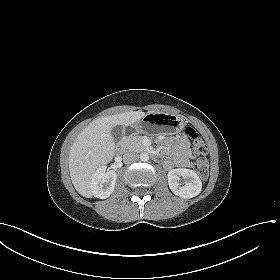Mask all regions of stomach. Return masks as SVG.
I'll list each match as a JSON object with an SVG mask.
<instances>
[{"label":"stomach","instance_id":"stomach-1","mask_svg":"<svg viewBox=\"0 0 280 280\" xmlns=\"http://www.w3.org/2000/svg\"><path fill=\"white\" fill-rule=\"evenodd\" d=\"M184 121L179 116L168 113H149L134 123V132H153L162 130L166 133H179L184 128Z\"/></svg>","mask_w":280,"mask_h":280}]
</instances>
